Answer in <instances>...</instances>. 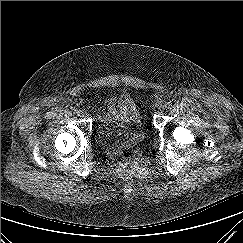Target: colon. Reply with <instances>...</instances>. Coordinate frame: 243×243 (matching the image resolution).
<instances>
[{"mask_svg":"<svg viewBox=\"0 0 243 243\" xmlns=\"http://www.w3.org/2000/svg\"><path fill=\"white\" fill-rule=\"evenodd\" d=\"M120 167H121V171L125 175H135L140 170L138 162L130 157L124 158L121 162Z\"/></svg>","mask_w":243,"mask_h":243,"instance_id":"colon-1","label":"colon"}]
</instances>
